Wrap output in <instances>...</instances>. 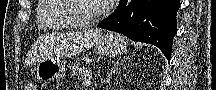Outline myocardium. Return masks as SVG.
Instances as JSON below:
<instances>
[{
	"mask_svg": "<svg viewBox=\"0 0 216 90\" xmlns=\"http://www.w3.org/2000/svg\"><path fill=\"white\" fill-rule=\"evenodd\" d=\"M77 1H94V0H67L65 3V14L70 18L79 28H95V24L100 20H106L109 14V8L105 3H101L98 13L95 17L85 18L77 15L74 11V3Z\"/></svg>",
	"mask_w": 216,
	"mask_h": 90,
	"instance_id": "obj_1",
	"label": "myocardium"
}]
</instances>
